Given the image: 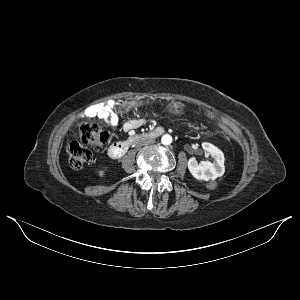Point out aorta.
<instances>
[{
    "label": "aorta",
    "instance_id": "aorta-1",
    "mask_svg": "<svg viewBox=\"0 0 300 300\" xmlns=\"http://www.w3.org/2000/svg\"><path fill=\"white\" fill-rule=\"evenodd\" d=\"M161 142L163 145H170L172 143V136L169 134H164L161 137Z\"/></svg>",
    "mask_w": 300,
    "mask_h": 300
}]
</instances>
